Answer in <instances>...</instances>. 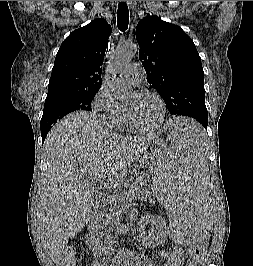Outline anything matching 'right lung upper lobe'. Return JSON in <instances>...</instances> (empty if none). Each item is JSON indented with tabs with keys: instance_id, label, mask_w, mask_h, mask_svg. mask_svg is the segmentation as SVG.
Returning <instances> with one entry per match:
<instances>
[{
	"instance_id": "right-lung-upper-lobe-1",
	"label": "right lung upper lobe",
	"mask_w": 253,
	"mask_h": 266,
	"mask_svg": "<svg viewBox=\"0 0 253 266\" xmlns=\"http://www.w3.org/2000/svg\"><path fill=\"white\" fill-rule=\"evenodd\" d=\"M110 34L111 26L102 18L73 31L56 55L48 93L100 88Z\"/></svg>"
}]
</instances>
